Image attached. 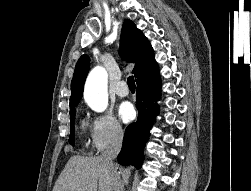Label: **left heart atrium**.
<instances>
[{
	"label": "left heart atrium",
	"mask_w": 251,
	"mask_h": 191,
	"mask_svg": "<svg viewBox=\"0 0 251 191\" xmlns=\"http://www.w3.org/2000/svg\"><path fill=\"white\" fill-rule=\"evenodd\" d=\"M118 114L123 122H128L134 117L135 111L131 103L124 102L119 106Z\"/></svg>",
	"instance_id": "39dd6f15"
}]
</instances>
